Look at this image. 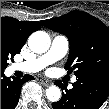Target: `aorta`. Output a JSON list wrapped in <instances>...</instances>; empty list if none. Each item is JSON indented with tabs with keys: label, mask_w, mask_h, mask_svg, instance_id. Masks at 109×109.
Here are the masks:
<instances>
[{
	"label": "aorta",
	"mask_w": 109,
	"mask_h": 109,
	"mask_svg": "<svg viewBox=\"0 0 109 109\" xmlns=\"http://www.w3.org/2000/svg\"><path fill=\"white\" fill-rule=\"evenodd\" d=\"M51 40L44 31L32 33L28 39L29 48L35 53H44L50 48ZM46 97L51 102H57L61 98V90L57 86H50L46 90Z\"/></svg>",
	"instance_id": "obj_1"
}]
</instances>
